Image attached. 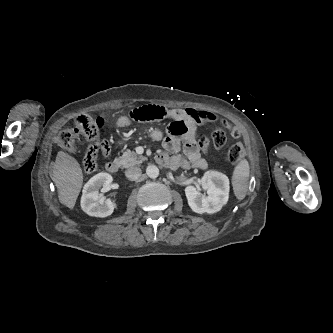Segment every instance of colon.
Listing matches in <instances>:
<instances>
[{"label": "colon", "mask_w": 333, "mask_h": 333, "mask_svg": "<svg viewBox=\"0 0 333 333\" xmlns=\"http://www.w3.org/2000/svg\"><path fill=\"white\" fill-rule=\"evenodd\" d=\"M169 115H174L179 120L170 128V132L179 136L193 135L194 128L182 120V113L179 111L170 112L164 107L158 105L143 104L127 110L124 117L127 121L134 123L139 121L147 123L156 120H162ZM104 121L101 118L93 119L88 115H81L76 118L72 128L63 130L58 135L59 145L70 152L76 150L77 140L83 136L89 146L83 159V166L87 173L92 174L97 171V155L101 151L103 155L110 153V143L107 139H99L100 131L103 128ZM226 133L222 128H216L209 140L203 134H197L195 140L200 148L206 150L211 144L214 148H220L226 143ZM243 157V148L240 144H234L228 151V159L231 164H237Z\"/></svg>", "instance_id": "1"}]
</instances>
